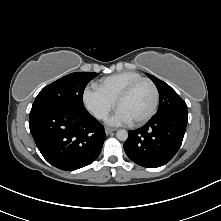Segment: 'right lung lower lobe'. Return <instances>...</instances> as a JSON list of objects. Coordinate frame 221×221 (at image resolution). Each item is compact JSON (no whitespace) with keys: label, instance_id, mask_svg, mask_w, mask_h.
<instances>
[{"label":"right lung lower lobe","instance_id":"obj_1","mask_svg":"<svg viewBox=\"0 0 221 221\" xmlns=\"http://www.w3.org/2000/svg\"><path fill=\"white\" fill-rule=\"evenodd\" d=\"M30 132L43 157L72 171L93 162L106 139L103 126L86 110L52 107L30 114Z\"/></svg>","mask_w":221,"mask_h":221}]
</instances>
